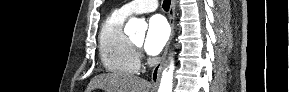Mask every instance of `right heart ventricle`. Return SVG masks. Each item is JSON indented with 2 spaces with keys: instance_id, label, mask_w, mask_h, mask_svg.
Returning a JSON list of instances; mask_svg holds the SVG:
<instances>
[{
  "instance_id": "right-heart-ventricle-1",
  "label": "right heart ventricle",
  "mask_w": 289,
  "mask_h": 92,
  "mask_svg": "<svg viewBox=\"0 0 289 92\" xmlns=\"http://www.w3.org/2000/svg\"><path fill=\"white\" fill-rule=\"evenodd\" d=\"M125 18L120 11H114L105 19L99 33V53L107 71L134 74L139 69V58L123 31Z\"/></svg>"
}]
</instances>
